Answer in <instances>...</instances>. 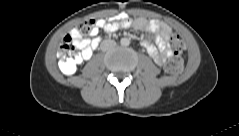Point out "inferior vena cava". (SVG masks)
Returning a JSON list of instances; mask_svg holds the SVG:
<instances>
[{"mask_svg":"<svg viewBox=\"0 0 239 136\" xmlns=\"http://www.w3.org/2000/svg\"><path fill=\"white\" fill-rule=\"evenodd\" d=\"M116 45V42L114 40H103L101 42V45H100V48L103 50V51H106L112 47H114Z\"/></svg>","mask_w":239,"mask_h":136,"instance_id":"1","label":"inferior vena cava"}]
</instances>
